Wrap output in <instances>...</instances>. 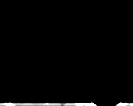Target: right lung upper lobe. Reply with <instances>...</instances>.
I'll list each match as a JSON object with an SVG mask.
<instances>
[{
  "mask_svg": "<svg viewBox=\"0 0 133 106\" xmlns=\"http://www.w3.org/2000/svg\"><path fill=\"white\" fill-rule=\"evenodd\" d=\"M58 67L36 43H25L0 55V95L15 103L35 102L56 81Z\"/></svg>",
  "mask_w": 133,
  "mask_h": 106,
  "instance_id": "1",
  "label": "right lung upper lobe"
}]
</instances>
